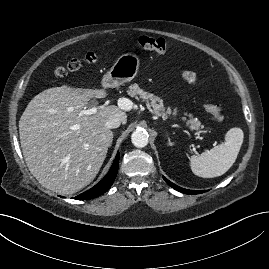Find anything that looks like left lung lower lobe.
<instances>
[{
    "label": "left lung lower lobe",
    "instance_id": "obj_1",
    "mask_svg": "<svg viewBox=\"0 0 269 269\" xmlns=\"http://www.w3.org/2000/svg\"><path fill=\"white\" fill-rule=\"evenodd\" d=\"M163 178L172 188H174L175 190L180 191L182 193H185V194H199V193L206 192V191H195V190L184 189V188H181V187L173 184L172 182L167 180L165 177H163Z\"/></svg>",
    "mask_w": 269,
    "mask_h": 269
}]
</instances>
